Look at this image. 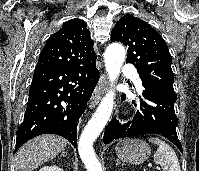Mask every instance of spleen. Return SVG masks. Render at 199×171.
Here are the masks:
<instances>
[{"instance_id": "spleen-1", "label": "spleen", "mask_w": 199, "mask_h": 171, "mask_svg": "<svg viewBox=\"0 0 199 171\" xmlns=\"http://www.w3.org/2000/svg\"><path fill=\"white\" fill-rule=\"evenodd\" d=\"M149 141L158 145L154 161L163 167L164 171H181L177 155L171 146L159 138H150Z\"/></svg>"}]
</instances>
